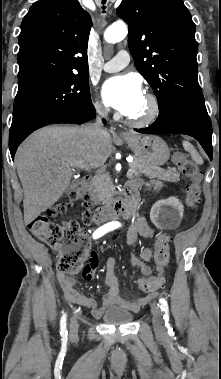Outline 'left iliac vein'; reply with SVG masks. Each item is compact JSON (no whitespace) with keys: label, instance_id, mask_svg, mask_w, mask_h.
<instances>
[{"label":"left iliac vein","instance_id":"obj_1","mask_svg":"<svg viewBox=\"0 0 221 379\" xmlns=\"http://www.w3.org/2000/svg\"><path fill=\"white\" fill-rule=\"evenodd\" d=\"M152 321L154 329L157 333L161 334L165 330L164 321H163V312L158 306H153L152 308Z\"/></svg>","mask_w":221,"mask_h":379}]
</instances>
